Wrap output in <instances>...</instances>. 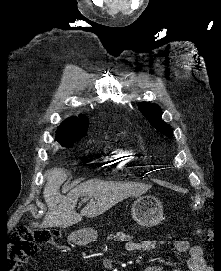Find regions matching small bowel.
<instances>
[{"instance_id": "c3829d8e", "label": "small bowel", "mask_w": 221, "mask_h": 271, "mask_svg": "<svg viewBox=\"0 0 221 271\" xmlns=\"http://www.w3.org/2000/svg\"><path fill=\"white\" fill-rule=\"evenodd\" d=\"M159 244L160 242L151 239L142 241L129 240L126 243V249L129 252H148L156 249ZM174 246L178 252L188 253V268L190 271H209L203 259V250L200 246L192 245L187 240H177ZM143 271H164V268L162 265H150L145 267ZM171 271H178V269L173 268Z\"/></svg>"}]
</instances>
